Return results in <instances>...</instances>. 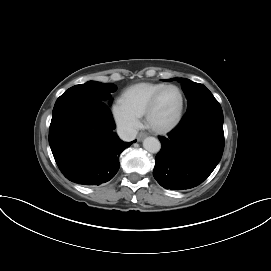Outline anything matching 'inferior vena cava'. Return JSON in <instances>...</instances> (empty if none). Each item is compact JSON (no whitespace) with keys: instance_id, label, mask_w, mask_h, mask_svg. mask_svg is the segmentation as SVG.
<instances>
[{"instance_id":"602c4592","label":"inferior vena cava","mask_w":271,"mask_h":271,"mask_svg":"<svg viewBox=\"0 0 271 271\" xmlns=\"http://www.w3.org/2000/svg\"><path fill=\"white\" fill-rule=\"evenodd\" d=\"M117 133L121 140L129 142L136 138L137 130L131 127H118Z\"/></svg>"}]
</instances>
